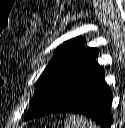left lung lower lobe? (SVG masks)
Listing matches in <instances>:
<instances>
[{
	"label": "left lung lower lobe",
	"instance_id": "0a47b994",
	"mask_svg": "<svg viewBox=\"0 0 125 128\" xmlns=\"http://www.w3.org/2000/svg\"><path fill=\"white\" fill-rule=\"evenodd\" d=\"M112 92L104 80L102 66L96 64L86 72L68 102L54 113H79L86 115L103 128H110Z\"/></svg>",
	"mask_w": 125,
	"mask_h": 128
}]
</instances>
